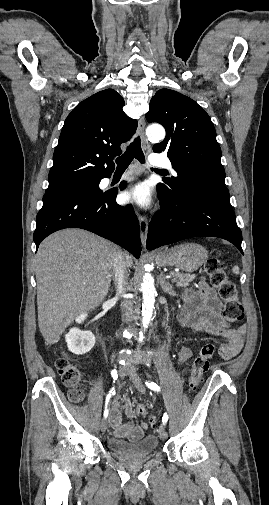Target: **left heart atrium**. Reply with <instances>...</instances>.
<instances>
[{"mask_svg": "<svg viewBox=\"0 0 269 505\" xmlns=\"http://www.w3.org/2000/svg\"><path fill=\"white\" fill-rule=\"evenodd\" d=\"M122 201L140 207H148L151 203L149 188L144 183H138L122 193Z\"/></svg>", "mask_w": 269, "mask_h": 505, "instance_id": "1", "label": "left heart atrium"}]
</instances>
